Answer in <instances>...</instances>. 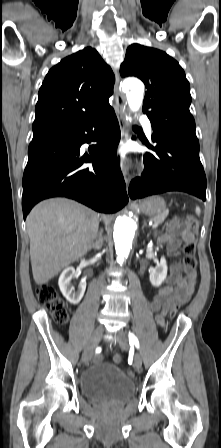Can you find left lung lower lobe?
I'll use <instances>...</instances> for the list:
<instances>
[{
  "label": "left lung lower lobe",
  "instance_id": "obj_1",
  "mask_svg": "<svg viewBox=\"0 0 221 448\" xmlns=\"http://www.w3.org/2000/svg\"><path fill=\"white\" fill-rule=\"evenodd\" d=\"M152 142H145L155 155H144L145 171L129 187L132 199L166 191H183L206 200V176L199 158L198 140L153 131Z\"/></svg>",
  "mask_w": 221,
  "mask_h": 448
}]
</instances>
